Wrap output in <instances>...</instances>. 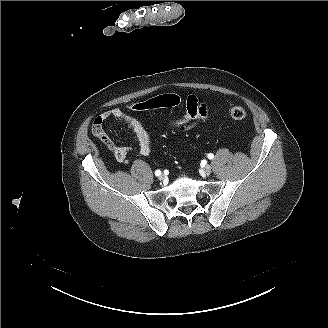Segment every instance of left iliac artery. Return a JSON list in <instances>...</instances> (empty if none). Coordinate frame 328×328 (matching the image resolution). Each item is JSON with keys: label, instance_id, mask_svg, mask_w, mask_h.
Masks as SVG:
<instances>
[{"label": "left iliac artery", "instance_id": "1", "mask_svg": "<svg viewBox=\"0 0 328 328\" xmlns=\"http://www.w3.org/2000/svg\"><path fill=\"white\" fill-rule=\"evenodd\" d=\"M208 158H209V159H213V158H214V155H213L212 153H209V154H208Z\"/></svg>", "mask_w": 328, "mask_h": 328}]
</instances>
